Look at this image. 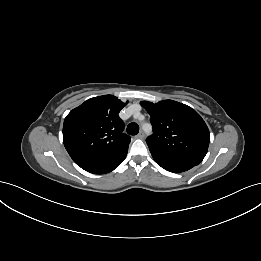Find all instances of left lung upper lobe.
Instances as JSON below:
<instances>
[{"instance_id":"left-lung-upper-lobe-1","label":"left lung upper lobe","mask_w":261,"mask_h":261,"mask_svg":"<svg viewBox=\"0 0 261 261\" xmlns=\"http://www.w3.org/2000/svg\"><path fill=\"white\" fill-rule=\"evenodd\" d=\"M140 104L151 116L154 134L146 141L150 150L195 165L204 159L210 135L194 109L173 100Z\"/></svg>"}]
</instances>
